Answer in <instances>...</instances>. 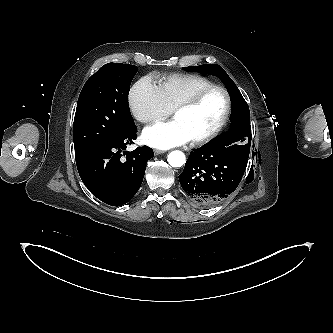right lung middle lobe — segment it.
I'll return each mask as SVG.
<instances>
[{"instance_id": "dd1d6c3e", "label": "right lung middle lobe", "mask_w": 333, "mask_h": 333, "mask_svg": "<svg viewBox=\"0 0 333 333\" xmlns=\"http://www.w3.org/2000/svg\"><path fill=\"white\" fill-rule=\"evenodd\" d=\"M136 73L134 65L108 63L87 80L74 118L76 157L121 137L135 126L128 106V93Z\"/></svg>"}]
</instances>
